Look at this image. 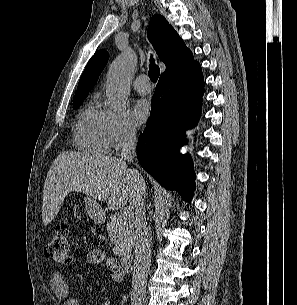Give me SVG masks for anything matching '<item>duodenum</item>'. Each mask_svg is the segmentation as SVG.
Masks as SVG:
<instances>
[{
    "label": "duodenum",
    "instance_id": "1",
    "mask_svg": "<svg viewBox=\"0 0 297 305\" xmlns=\"http://www.w3.org/2000/svg\"><path fill=\"white\" fill-rule=\"evenodd\" d=\"M120 265L122 269L129 272L132 270L133 258L130 255L124 254L120 256Z\"/></svg>",
    "mask_w": 297,
    "mask_h": 305
}]
</instances>
